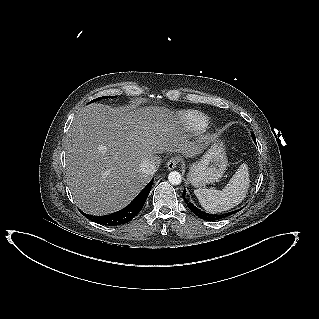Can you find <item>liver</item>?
I'll return each mask as SVG.
<instances>
[{
	"label": "liver",
	"mask_w": 319,
	"mask_h": 319,
	"mask_svg": "<svg viewBox=\"0 0 319 319\" xmlns=\"http://www.w3.org/2000/svg\"><path fill=\"white\" fill-rule=\"evenodd\" d=\"M67 184L75 203L88 214L106 215L126 205L151 180L141 172L144 158L160 164L158 154L190 156L193 143L166 107H84L64 140Z\"/></svg>",
	"instance_id": "6515ba94"
}]
</instances>
